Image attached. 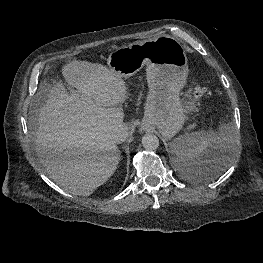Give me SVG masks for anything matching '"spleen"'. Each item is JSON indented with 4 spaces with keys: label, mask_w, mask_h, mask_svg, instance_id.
<instances>
[{
    "label": "spleen",
    "mask_w": 263,
    "mask_h": 263,
    "mask_svg": "<svg viewBox=\"0 0 263 263\" xmlns=\"http://www.w3.org/2000/svg\"><path fill=\"white\" fill-rule=\"evenodd\" d=\"M238 143L239 137L235 127L232 124H226L220 125L218 132L208 133L201 130L180 135L173 140L171 148L177 161L183 163L194 161L212 147L218 148L222 153L223 166L216 174L206 178L214 179L228 167L231 155L236 150ZM187 178L194 179L191 176Z\"/></svg>",
    "instance_id": "1"
}]
</instances>
